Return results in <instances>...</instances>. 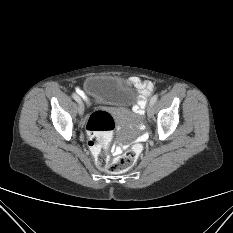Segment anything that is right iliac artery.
<instances>
[{
    "instance_id": "82829eb1",
    "label": "right iliac artery",
    "mask_w": 233,
    "mask_h": 233,
    "mask_svg": "<svg viewBox=\"0 0 233 233\" xmlns=\"http://www.w3.org/2000/svg\"><path fill=\"white\" fill-rule=\"evenodd\" d=\"M72 97H73L75 100H77V97H78V96H77L75 93H73V94H72Z\"/></svg>"
}]
</instances>
